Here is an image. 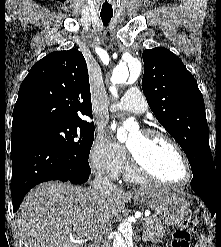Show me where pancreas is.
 Masks as SVG:
<instances>
[{"label": "pancreas", "mask_w": 221, "mask_h": 247, "mask_svg": "<svg viewBox=\"0 0 221 247\" xmlns=\"http://www.w3.org/2000/svg\"><path fill=\"white\" fill-rule=\"evenodd\" d=\"M164 234L165 231L159 218L150 216L145 219V224L143 226L144 242L158 243Z\"/></svg>", "instance_id": "pancreas-1"}]
</instances>
